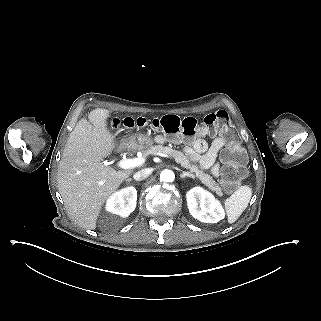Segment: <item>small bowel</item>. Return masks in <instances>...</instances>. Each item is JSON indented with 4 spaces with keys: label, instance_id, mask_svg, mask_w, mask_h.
I'll return each instance as SVG.
<instances>
[{
    "label": "small bowel",
    "instance_id": "c3829d8e",
    "mask_svg": "<svg viewBox=\"0 0 321 321\" xmlns=\"http://www.w3.org/2000/svg\"><path fill=\"white\" fill-rule=\"evenodd\" d=\"M224 139L215 138L209 146L203 139H197L185 148L186 153L192 160L197 161L204 169L211 168L213 175L219 174V165L216 158L219 151L224 147Z\"/></svg>",
    "mask_w": 321,
    "mask_h": 321
}]
</instances>
